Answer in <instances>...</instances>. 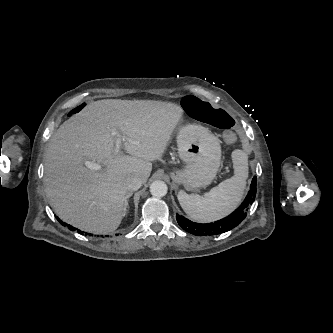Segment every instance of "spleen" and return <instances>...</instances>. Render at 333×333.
Returning a JSON list of instances; mask_svg holds the SVG:
<instances>
[{
	"mask_svg": "<svg viewBox=\"0 0 333 333\" xmlns=\"http://www.w3.org/2000/svg\"><path fill=\"white\" fill-rule=\"evenodd\" d=\"M234 176L224 180L204 195L178 192V201L193 220L213 222L231 213L240 203L248 177V157L242 150L232 152Z\"/></svg>",
	"mask_w": 333,
	"mask_h": 333,
	"instance_id": "1",
	"label": "spleen"
}]
</instances>
